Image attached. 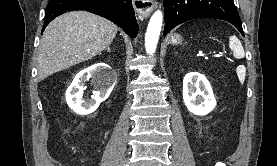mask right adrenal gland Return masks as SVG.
<instances>
[{"mask_svg": "<svg viewBox=\"0 0 277 166\" xmlns=\"http://www.w3.org/2000/svg\"><path fill=\"white\" fill-rule=\"evenodd\" d=\"M106 50H107V52H108V53H110V52H111L110 47H107V49H106Z\"/></svg>", "mask_w": 277, "mask_h": 166, "instance_id": "right-adrenal-gland-1", "label": "right adrenal gland"}]
</instances>
